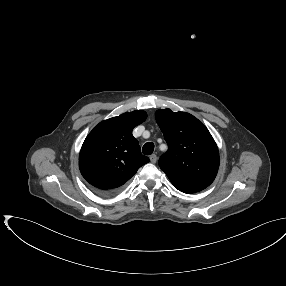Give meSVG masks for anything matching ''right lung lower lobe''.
Returning a JSON list of instances; mask_svg holds the SVG:
<instances>
[{"mask_svg": "<svg viewBox=\"0 0 286 286\" xmlns=\"http://www.w3.org/2000/svg\"><path fill=\"white\" fill-rule=\"evenodd\" d=\"M95 192L100 194V195H110V194L115 193V192H103V191H99V190H96V189H95Z\"/></svg>", "mask_w": 286, "mask_h": 286, "instance_id": "98d812e1", "label": "right lung lower lobe"}]
</instances>
